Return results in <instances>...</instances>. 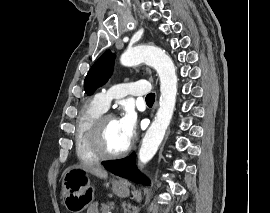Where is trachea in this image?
<instances>
[{
  "label": "trachea",
  "instance_id": "3493384b",
  "mask_svg": "<svg viewBox=\"0 0 270 213\" xmlns=\"http://www.w3.org/2000/svg\"><path fill=\"white\" fill-rule=\"evenodd\" d=\"M154 101H155V94L154 93H150L146 96L147 103H154Z\"/></svg>",
  "mask_w": 270,
  "mask_h": 213
}]
</instances>
